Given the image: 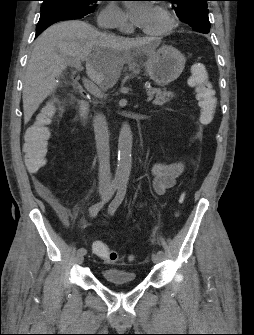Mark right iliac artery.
I'll return each mask as SVG.
<instances>
[{"label":"right iliac artery","instance_id":"obj_1","mask_svg":"<svg viewBox=\"0 0 254 335\" xmlns=\"http://www.w3.org/2000/svg\"><path fill=\"white\" fill-rule=\"evenodd\" d=\"M117 189V185L116 184H112L107 192L106 197L100 201L97 202L96 204L92 205L89 209V213L91 217H96V215L98 214V212L103 208V206L109 201V199L114 195L115 191ZM79 254H86V249L85 248H79L77 251Z\"/></svg>","mask_w":254,"mask_h":335}]
</instances>
